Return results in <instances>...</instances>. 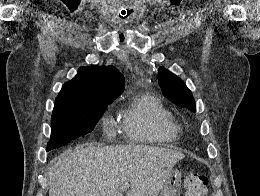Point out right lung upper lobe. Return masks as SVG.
Segmentation results:
<instances>
[{
    "label": "right lung upper lobe",
    "instance_id": "1",
    "mask_svg": "<svg viewBox=\"0 0 260 196\" xmlns=\"http://www.w3.org/2000/svg\"><path fill=\"white\" fill-rule=\"evenodd\" d=\"M124 83V77L113 66L82 67L71 81L64 84L55 106L110 104L123 92Z\"/></svg>",
    "mask_w": 260,
    "mask_h": 196
}]
</instances>
